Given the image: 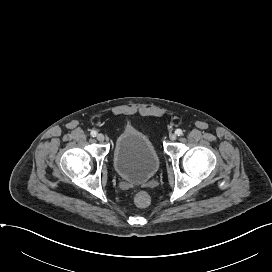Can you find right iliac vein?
I'll list each match as a JSON object with an SVG mask.
<instances>
[{
  "label": "right iliac vein",
  "mask_w": 272,
  "mask_h": 272,
  "mask_svg": "<svg viewBox=\"0 0 272 272\" xmlns=\"http://www.w3.org/2000/svg\"><path fill=\"white\" fill-rule=\"evenodd\" d=\"M97 140L98 141H104V135L102 133H99L97 136H96Z\"/></svg>",
  "instance_id": "right-iliac-vein-1"
}]
</instances>
